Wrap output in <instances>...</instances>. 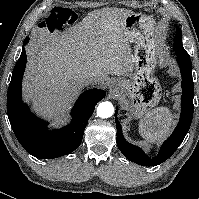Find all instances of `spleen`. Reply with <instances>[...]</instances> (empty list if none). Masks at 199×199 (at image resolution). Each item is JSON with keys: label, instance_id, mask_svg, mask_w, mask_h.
Returning <instances> with one entry per match:
<instances>
[{"label": "spleen", "instance_id": "1", "mask_svg": "<svg viewBox=\"0 0 199 199\" xmlns=\"http://www.w3.org/2000/svg\"><path fill=\"white\" fill-rule=\"evenodd\" d=\"M173 123L170 110L167 107H158L140 120L139 133L149 143L160 142L168 135Z\"/></svg>", "mask_w": 199, "mask_h": 199}]
</instances>
